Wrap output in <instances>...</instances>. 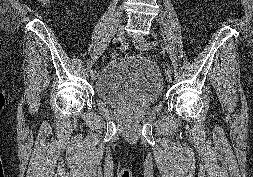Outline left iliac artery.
<instances>
[{
  "label": "left iliac artery",
  "instance_id": "obj_1",
  "mask_svg": "<svg viewBox=\"0 0 253 177\" xmlns=\"http://www.w3.org/2000/svg\"><path fill=\"white\" fill-rule=\"evenodd\" d=\"M157 45H158V42L156 40H153V41H149V42L143 43L142 47L145 50H150V49L155 48ZM167 72H171L172 73L173 72L172 68L168 66L166 68V70H165V73H167Z\"/></svg>",
  "mask_w": 253,
  "mask_h": 177
}]
</instances>
